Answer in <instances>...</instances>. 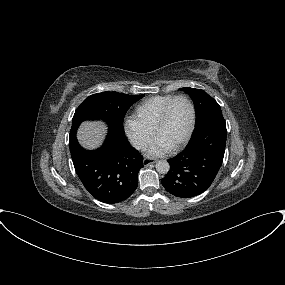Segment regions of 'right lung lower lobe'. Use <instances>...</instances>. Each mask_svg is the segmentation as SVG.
Returning a JSON list of instances; mask_svg holds the SVG:
<instances>
[{
	"instance_id": "98d812e1",
	"label": "right lung lower lobe",
	"mask_w": 285,
	"mask_h": 285,
	"mask_svg": "<svg viewBox=\"0 0 285 285\" xmlns=\"http://www.w3.org/2000/svg\"><path fill=\"white\" fill-rule=\"evenodd\" d=\"M78 127H71L69 145L75 171L84 187L104 203L127 199L137 188L142 157L129 145L124 134L111 130L100 148L86 150L77 142Z\"/></svg>"
}]
</instances>
